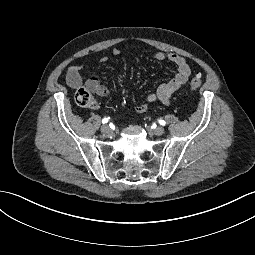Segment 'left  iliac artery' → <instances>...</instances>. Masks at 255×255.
Listing matches in <instances>:
<instances>
[{
	"label": "left iliac artery",
	"mask_w": 255,
	"mask_h": 255,
	"mask_svg": "<svg viewBox=\"0 0 255 255\" xmlns=\"http://www.w3.org/2000/svg\"><path fill=\"white\" fill-rule=\"evenodd\" d=\"M159 123L163 126L166 124L164 120H159Z\"/></svg>",
	"instance_id": "44dca946"
}]
</instances>
